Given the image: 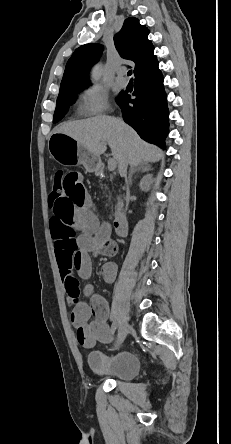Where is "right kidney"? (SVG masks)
<instances>
[{
	"label": "right kidney",
	"mask_w": 231,
	"mask_h": 444,
	"mask_svg": "<svg viewBox=\"0 0 231 444\" xmlns=\"http://www.w3.org/2000/svg\"><path fill=\"white\" fill-rule=\"evenodd\" d=\"M152 178V175H146L142 178L140 182V188L142 191H145L147 189V186Z\"/></svg>",
	"instance_id": "ca27d5eb"
}]
</instances>
